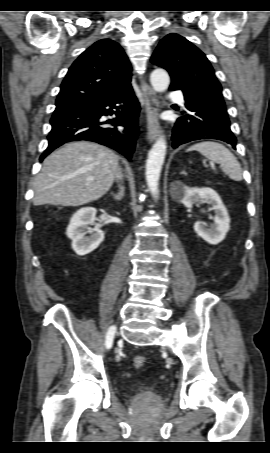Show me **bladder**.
<instances>
[{
    "label": "bladder",
    "mask_w": 270,
    "mask_h": 453,
    "mask_svg": "<svg viewBox=\"0 0 270 453\" xmlns=\"http://www.w3.org/2000/svg\"><path fill=\"white\" fill-rule=\"evenodd\" d=\"M144 394H146V395H154L155 392H154L153 389H151L149 387H146V388H144Z\"/></svg>",
    "instance_id": "31cf9c89"
}]
</instances>
